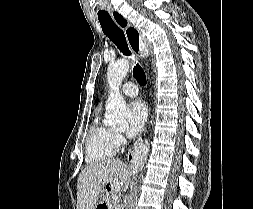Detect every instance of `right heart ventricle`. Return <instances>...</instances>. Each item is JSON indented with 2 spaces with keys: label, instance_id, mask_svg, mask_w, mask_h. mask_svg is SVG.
Returning a JSON list of instances; mask_svg holds the SVG:
<instances>
[{
  "label": "right heart ventricle",
  "instance_id": "e07e8e85",
  "mask_svg": "<svg viewBox=\"0 0 253 209\" xmlns=\"http://www.w3.org/2000/svg\"><path fill=\"white\" fill-rule=\"evenodd\" d=\"M114 131L101 123L100 117L94 119L86 139V160L96 163L112 157L118 145L115 142Z\"/></svg>",
  "mask_w": 253,
  "mask_h": 209
}]
</instances>
